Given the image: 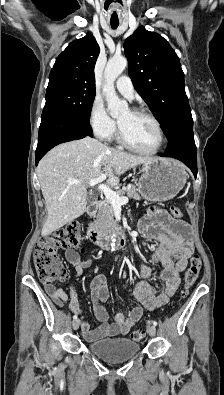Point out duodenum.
<instances>
[{
  "instance_id": "duodenum-1",
  "label": "duodenum",
  "mask_w": 224,
  "mask_h": 395,
  "mask_svg": "<svg viewBox=\"0 0 224 395\" xmlns=\"http://www.w3.org/2000/svg\"><path fill=\"white\" fill-rule=\"evenodd\" d=\"M97 201L92 202L87 209L89 216L93 215ZM87 237L93 244L109 248L111 242L114 241L116 247H125L127 245V234L122 230L118 222H111L106 228H91L87 232Z\"/></svg>"
}]
</instances>
